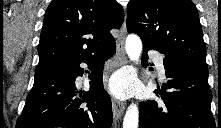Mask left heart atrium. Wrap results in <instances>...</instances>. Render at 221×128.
Instances as JSON below:
<instances>
[{
  "label": "left heart atrium",
  "mask_w": 221,
  "mask_h": 128,
  "mask_svg": "<svg viewBox=\"0 0 221 128\" xmlns=\"http://www.w3.org/2000/svg\"><path fill=\"white\" fill-rule=\"evenodd\" d=\"M132 88L133 82L125 73L114 76L110 82V90L119 98H125L128 96L132 91Z\"/></svg>",
  "instance_id": "1"
}]
</instances>
